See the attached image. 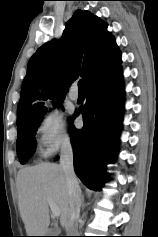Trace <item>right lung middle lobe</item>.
I'll list each match as a JSON object with an SVG mask.
<instances>
[{
    "label": "right lung middle lobe",
    "mask_w": 158,
    "mask_h": 237,
    "mask_svg": "<svg viewBox=\"0 0 158 237\" xmlns=\"http://www.w3.org/2000/svg\"><path fill=\"white\" fill-rule=\"evenodd\" d=\"M57 105L58 102L53 103V106L56 107ZM46 112L47 109H44L36 115L17 119L16 150L21 164H25L35 152V133Z\"/></svg>",
    "instance_id": "dd1d6c3e"
}]
</instances>
